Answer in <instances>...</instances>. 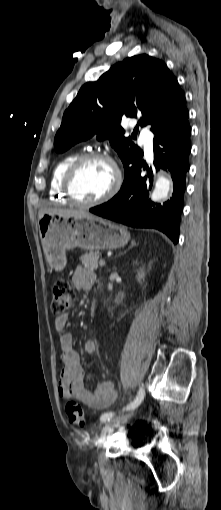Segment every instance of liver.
Returning <instances> with one entry per match:
<instances>
[{
    "mask_svg": "<svg viewBox=\"0 0 221 510\" xmlns=\"http://www.w3.org/2000/svg\"><path fill=\"white\" fill-rule=\"evenodd\" d=\"M60 214L63 216H71V217H89L92 216L89 212L84 210H72V209H60V208H42L39 211V218L44 214Z\"/></svg>",
    "mask_w": 221,
    "mask_h": 510,
    "instance_id": "1",
    "label": "liver"
}]
</instances>
